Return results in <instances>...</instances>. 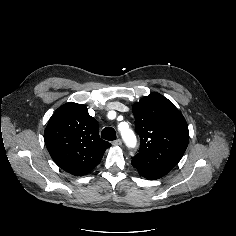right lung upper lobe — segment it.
Instances as JSON below:
<instances>
[{
    "label": "right lung upper lobe",
    "instance_id": "obj_1",
    "mask_svg": "<svg viewBox=\"0 0 236 236\" xmlns=\"http://www.w3.org/2000/svg\"><path fill=\"white\" fill-rule=\"evenodd\" d=\"M44 141L54 162L75 176L88 174L111 146L99 137L98 123L86 106L73 102L54 112L44 131Z\"/></svg>",
    "mask_w": 236,
    "mask_h": 236
}]
</instances>
